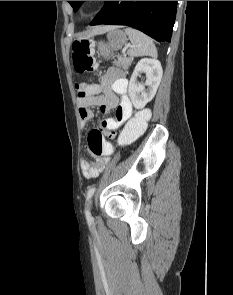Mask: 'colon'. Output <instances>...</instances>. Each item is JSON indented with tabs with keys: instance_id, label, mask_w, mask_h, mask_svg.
<instances>
[{
	"instance_id": "1",
	"label": "colon",
	"mask_w": 233,
	"mask_h": 295,
	"mask_svg": "<svg viewBox=\"0 0 233 295\" xmlns=\"http://www.w3.org/2000/svg\"><path fill=\"white\" fill-rule=\"evenodd\" d=\"M73 64L78 73H89L95 68V61L92 56V42L84 39L75 41L72 45ZM76 90L79 97L94 95L99 91V85L93 83H77ZM150 119V111L142 109L137 111L135 116L131 118L125 125L120 137V145H128L142 135L147 127ZM104 135L110 138L115 136L114 131L108 133L102 132L99 129H93L89 132L87 145L89 152L93 156H108L112 153V145L105 140Z\"/></svg>"
}]
</instances>
